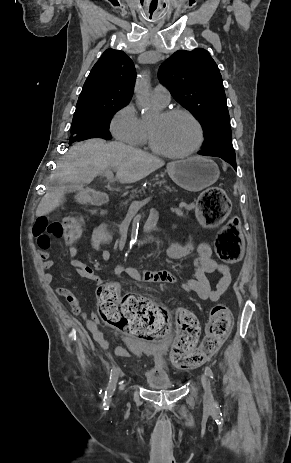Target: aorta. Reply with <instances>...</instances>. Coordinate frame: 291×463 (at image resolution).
Listing matches in <instances>:
<instances>
[{"label": "aorta", "mask_w": 291, "mask_h": 463, "mask_svg": "<svg viewBox=\"0 0 291 463\" xmlns=\"http://www.w3.org/2000/svg\"><path fill=\"white\" fill-rule=\"evenodd\" d=\"M149 92H150L149 77L146 73H144L142 77L136 81L135 94H136V103L138 107L141 108L145 112H147V110L150 107Z\"/></svg>", "instance_id": "obj_1"}]
</instances>
